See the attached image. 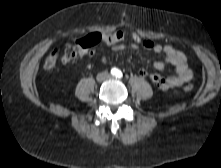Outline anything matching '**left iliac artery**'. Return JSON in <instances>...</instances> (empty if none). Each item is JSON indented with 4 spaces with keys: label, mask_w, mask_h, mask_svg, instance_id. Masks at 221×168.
Wrapping results in <instances>:
<instances>
[{
    "label": "left iliac artery",
    "mask_w": 221,
    "mask_h": 168,
    "mask_svg": "<svg viewBox=\"0 0 221 168\" xmlns=\"http://www.w3.org/2000/svg\"><path fill=\"white\" fill-rule=\"evenodd\" d=\"M116 76H117L118 78H122V77H123V74H122L121 71H118Z\"/></svg>",
    "instance_id": "obj_1"
}]
</instances>
